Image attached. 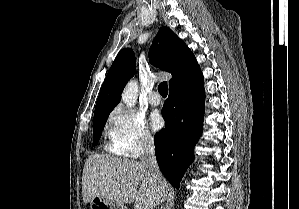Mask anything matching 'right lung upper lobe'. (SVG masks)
<instances>
[{"label":"right lung upper lobe","mask_w":299,"mask_h":209,"mask_svg":"<svg viewBox=\"0 0 299 209\" xmlns=\"http://www.w3.org/2000/svg\"><path fill=\"white\" fill-rule=\"evenodd\" d=\"M150 62L172 74L169 88L183 86L199 77L200 66L187 45L168 27L160 28L149 50ZM136 59L132 49L121 50L103 82L95 114L111 112L120 102L126 82L134 76Z\"/></svg>","instance_id":"obj_1"}]
</instances>
